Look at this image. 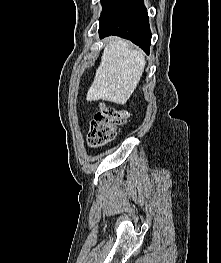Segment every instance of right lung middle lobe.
Masks as SVG:
<instances>
[{"label":"right lung middle lobe","mask_w":221,"mask_h":263,"mask_svg":"<svg viewBox=\"0 0 221 263\" xmlns=\"http://www.w3.org/2000/svg\"><path fill=\"white\" fill-rule=\"evenodd\" d=\"M113 0H101L103 11L112 3Z\"/></svg>","instance_id":"obj_1"}]
</instances>
